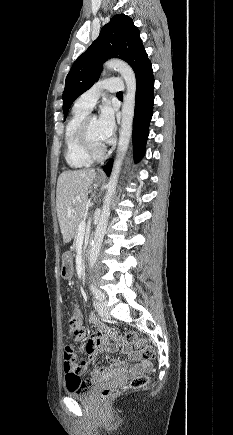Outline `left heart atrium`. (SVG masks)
Instances as JSON below:
<instances>
[{
  "label": "left heart atrium",
  "instance_id": "obj_1",
  "mask_svg": "<svg viewBox=\"0 0 233 435\" xmlns=\"http://www.w3.org/2000/svg\"><path fill=\"white\" fill-rule=\"evenodd\" d=\"M98 123L102 139L109 142L115 130V122L113 110L108 104L102 107Z\"/></svg>",
  "mask_w": 233,
  "mask_h": 435
}]
</instances>
